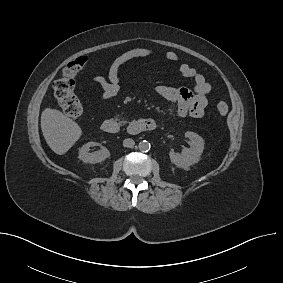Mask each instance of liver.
Wrapping results in <instances>:
<instances>
[{"label": "liver", "instance_id": "6515ba94", "mask_svg": "<svg viewBox=\"0 0 283 283\" xmlns=\"http://www.w3.org/2000/svg\"><path fill=\"white\" fill-rule=\"evenodd\" d=\"M41 129L47 144L58 155L65 154L82 135V130L75 121L52 108L43 110Z\"/></svg>", "mask_w": 283, "mask_h": 283}]
</instances>
